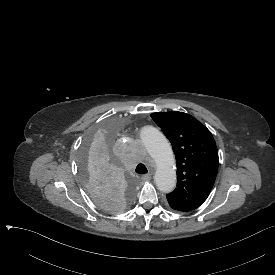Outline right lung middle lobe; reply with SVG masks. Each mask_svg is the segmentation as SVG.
I'll use <instances>...</instances> for the list:
<instances>
[{
  "label": "right lung middle lobe",
  "instance_id": "dd1d6c3e",
  "mask_svg": "<svg viewBox=\"0 0 275 275\" xmlns=\"http://www.w3.org/2000/svg\"><path fill=\"white\" fill-rule=\"evenodd\" d=\"M119 119L109 117L91 128L78 153L79 181L87 187L101 210L117 213L132 204L135 193L131 178L115 157L113 136L120 133Z\"/></svg>",
  "mask_w": 275,
  "mask_h": 275
}]
</instances>
